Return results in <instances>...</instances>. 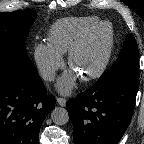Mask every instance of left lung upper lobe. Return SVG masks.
Listing matches in <instances>:
<instances>
[{
  "mask_svg": "<svg viewBox=\"0 0 144 144\" xmlns=\"http://www.w3.org/2000/svg\"><path fill=\"white\" fill-rule=\"evenodd\" d=\"M139 52L133 34L126 37L124 46L114 65L100 78V84L111 87L123 81L139 80Z\"/></svg>",
  "mask_w": 144,
  "mask_h": 144,
  "instance_id": "5c2ea615",
  "label": "left lung upper lobe"
}]
</instances>
